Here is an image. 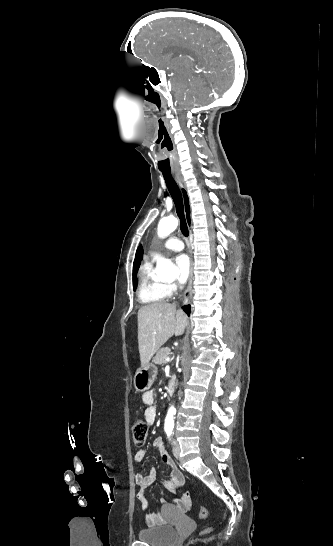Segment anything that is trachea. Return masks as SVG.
Instances as JSON below:
<instances>
[{"mask_svg":"<svg viewBox=\"0 0 333 546\" xmlns=\"http://www.w3.org/2000/svg\"><path fill=\"white\" fill-rule=\"evenodd\" d=\"M162 174H163L166 186L175 203L176 212L180 219L181 232L185 237H187L189 234V231H188V226H187L185 215H184V206H183V198H182L181 191L171 173L162 172Z\"/></svg>","mask_w":333,"mask_h":546,"instance_id":"trachea-1","label":"trachea"}]
</instances>
